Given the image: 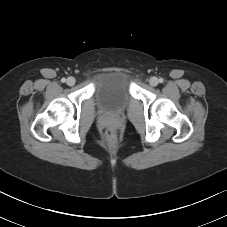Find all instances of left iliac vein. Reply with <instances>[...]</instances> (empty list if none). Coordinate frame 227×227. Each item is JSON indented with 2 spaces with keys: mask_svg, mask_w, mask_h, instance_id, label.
Returning a JSON list of instances; mask_svg holds the SVG:
<instances>
[{
  "mask_svg": "<svg viewBox=\"0 0 227 227\" xmlns=\"http://www.w3.org/2000/svg\"><path fill=\"white\" fill-rule=\"evenodd\" d=\"M158 79L156 78V77H151L150 78V80H149V84L151 85V86H157L158 85Z\"/></svg>",
  "mask_w": 227,
  "mask_h": 227,
  "instance_id": "obj_1",
  "label": "left iliac vein"
}]
</instances>
